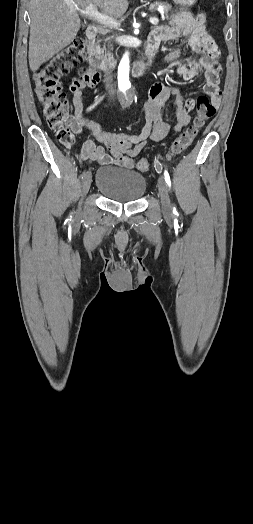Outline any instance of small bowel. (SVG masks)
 Returning a JSON list of instances; mask_svg holds the SVG:
<instances>
[{
    "label": "small bowel",
    "mask_w": 253,
    "mask_h": 524,
    "mask_svg": "<svg viewBox=\"0 0 253 524\" xmlns=\"http://www.w3.org/2000/svg\"><path fill=\"white\" fill-rule=\"evenodd\" d=\"M206 16L180 14L169 26L155 28L149 36L148 58L153 61L158 54L159 48L167 42L183 36L188 39L190 48L202 56L197 63H179L176 71L186 81L196 79L200 74L203 76L204 91L215 106L219 105L221 99L220 73L221 69L217 63L219 50L209 32L206 30ZM181 50H174L165 56L167 62L179 58ZM172 96L176 107L177 123L176 131L182 130L190 122L189 112L194 108L195 100H185L178 90L163 83H154L149 90L148 100L144 104L145 124L140 133L129 135L126 133H114L101 130L100 127L87 120L84 116L83 96L72 95L75 108V119L72 128L75 132L87 130L103 146H97L92 140L83 143L79 157L82 160L95 162L100 165H116L127 169L134 167L133 159L140 151L152 142H158L166 137L171 129L165 119V106ZM105 148L108 152H106Z\"/></svg>",
    "instance_id": "1"
}]
</instances>
